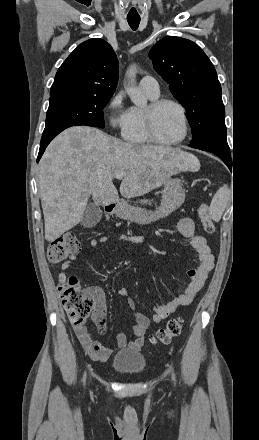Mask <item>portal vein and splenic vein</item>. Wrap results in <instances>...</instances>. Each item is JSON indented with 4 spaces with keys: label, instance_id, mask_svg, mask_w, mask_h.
Wrapping results in <instances>:
<instances>
[{
    "label": "portal vein and splenic vein",
    "instance_id": "1",
    "mask_svg": "<svg viewBox=\"0 0 259 440\" xmlns=\"http://www.w3.org/2000/svg\"><path fill=\"white\" fill-rule=\"evenodd\" d=\"M123 177H124V173H116V175H115V178L118 180L123 179Z\"/></svg>",
    "mask_w": 259,
    "mask_h": 440
}]
</instances>
